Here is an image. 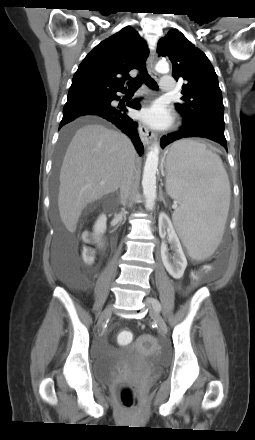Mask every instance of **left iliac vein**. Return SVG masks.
Segmentation results:
<instances>
[{"label": "left iliac vein", "instance_id": "obj_1", "mask_svg": "<svg viewBox=\"0 0 255 440\" xmlns=\"http://www.w3.org/2000/svg\"><path fill=\"white\" fill-rule=\"evenodd\" d=\"M151 298H147L145 300V303L149 309V314L151 316V318L156 322L158 329L161 333L165 334L167 332V325L163 319V317L161 316V314L159 313V311H157L154 306L151 303Z\"/></svg>", "mask_w": 255, "mask_h": 440}]
</instances>
